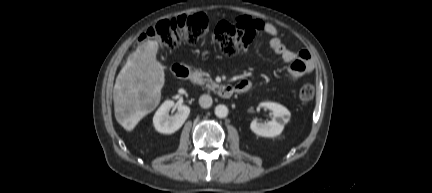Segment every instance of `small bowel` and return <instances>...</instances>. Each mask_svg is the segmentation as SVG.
<instances>
[{
    "instance_id": "c3829d8e",
    "label": "small bowel",
    "mask_w": 432,
    "mask_h": 193,
    "mask_svg": "<svg viewBox=\"0 0 432 193\" xmlns=\"http://www.w3.org/2000/svg\"><path fill=\"white\" fill-rule=\"evenodd\" d=\"M238 22L246 23L253 31V34L262 32L271 37L269 41L270 48L287 64H289L287 75L291 83L296 82L304 75L314 69V63L308 51L302 50L294 52L289 49L279 38L278 29L269 22L254 20L249 17H241ZM251 82L242 80L236 84V92L245 93L251 89Z\"/></svg>"
}]
</instances>
